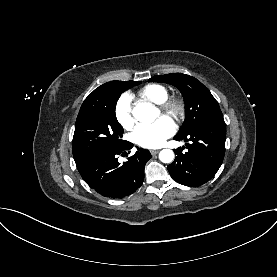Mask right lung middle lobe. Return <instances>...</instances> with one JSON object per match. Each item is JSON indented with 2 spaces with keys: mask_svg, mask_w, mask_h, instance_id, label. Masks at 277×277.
<instances>
[{
  "mask_svg": "<svg viewBox=\"0 0 277 277\" xmlns=\"http://www.w3.org/2000/svg\"><path fill=\"white\" fill-rule=\"evenodd\" d=\"M141 81H111L103 84L99 95L84 106L77 116L73 136V157L80 160L101 150L124 146L123 128L115 115L121 93Z\"/></svg>",
  "mask_w": 277,
  "mask_h": 277,
  "instance_id": "right-lung-middle-lobe-1",
  "label": "right lung middle lobe"
}]
</instances>
